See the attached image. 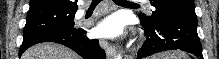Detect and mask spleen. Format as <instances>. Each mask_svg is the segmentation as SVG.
<instances>
[{
    "label": "spleen",
    "mask_w": 219,
    "mask_h": 59,
    "mask_svg": "<svg viewBox=\"0 0 219 59\" xmlns=\"http://www.w3.org/2000/svg\"><path fill=\"white\" fill-rule=\"evenodd\" d=\"M182 57H183V58H186L185 56L176 57V56H172V55L167 56L166 58H167V59H181Z\"/></svg>",
    "instance_id": "3e777b00"
}]
</instances>
